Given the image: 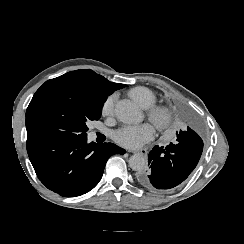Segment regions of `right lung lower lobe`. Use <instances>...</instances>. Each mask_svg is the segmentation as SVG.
<instances>
[{"label": "right lung lower lobe", "instance_id": "98d812e1", "mask_svg": "<svg viewBox=\"0 0 244 244\" xmlns=\"http://www.w3.org/2000/svg\"><path fill=\"white\" fill-rule=\"evenodd\" d=\"M26 146L40 181L65 197L79 196L93 189L109 157L126 152L112 143H87V136L41 132L28 133Z\"/></svg>", "mask_w": 244, "mask_h": 244}]
</instances>
